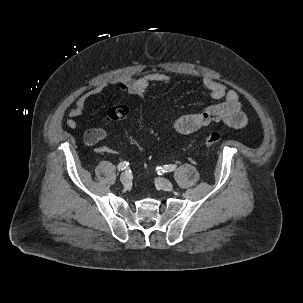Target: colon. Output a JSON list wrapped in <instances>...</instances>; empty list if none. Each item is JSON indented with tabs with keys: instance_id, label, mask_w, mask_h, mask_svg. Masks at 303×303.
Wrapping results in <instances>:
<instances>
[{
	"instance_id": "colon-1",
	"label": "colon",
	"mask_w": 303,
	"mask_h": 303,
	"mask_svg": "<svg viewBox=\"0 0 303 303\" xmlns=\"http://www.w3.org/2000/svg\"><path fill=\"white\" fill-rule=\"evenodd\" d=\"M130 110L126 105H117L110 108L107 112L106 120L108 122H115L125 119ZM222 139V136L218 132L209 133L204 139V145L207 148H211L219 143Z\"/></svg>"
}]
</instances>
